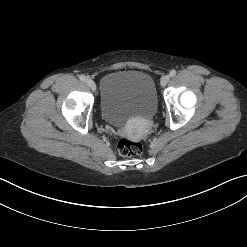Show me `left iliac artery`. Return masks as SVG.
<instances>
[{
  "instance_id": "obj_1",
  "label": "left iliac artery",
  "mask_w": 247,
  "mask_h": 247,
  "mask_svg": "<svg viewBox=\"0 0 247 247\" xmlns=\"http://www.w3.org/2000/svg\"><path fill=\"white\" fill-rule=\"evenodd\" d=\"M175 75H176V70H171V71H170V76H171V77H174Z\"/></svg>"
}]
</instances>
